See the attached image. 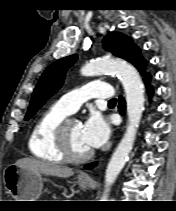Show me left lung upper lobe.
Here are the masks:
<instances>
[{
	"mask_svg": "<svg viewBox=\"0 0 176 211\" xmlns=\"http://www.w3.org/2000/svg\"><path fill=\"white\" fill-rule=\"evenodd\" d=\"M105 49L116 56L132 63L145 77H150L145 70V60L132 39L120 32H111L104 37ZM77 55H71L51 64L40 77L33 92L25 120L31 118L36 111L62 86L67 69L76 61Z\"/></svg>",
	"mask_w": 176,
	"mask_h": 211,
	"instance_id": "left-lung-upper-lobe-1",
	"label": "left lung upper lobe"
}]
</instances>
